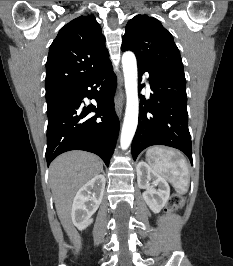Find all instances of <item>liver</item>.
I'll use <instances>...</instances> for the list:
<instances>
[{
  "label": "liver",
  "mask_w": 233,
  "mask_h": 266,
  "mask_svg": "<svg viewBox=\"0 0 233 266\" xmlns=\"http://www.w3.org/2000/svg\"><path fill=\"white\" fill-rule=\"evenodd\" d=\"M103 164L96 155L85 151H69L50 165L49 182L60 222L69 236L73 233L71 207L77 190L99 175Z\"/></svg>",
  "instance_id": "6515ba94"
}]
</instances>
